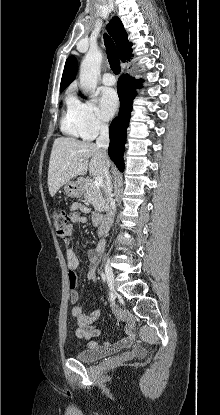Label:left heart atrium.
I'll list each match as a JSON object with an SVG mask.
<instances>
[{
	"mask_svg": "<svg viewBox=\"0 0 220 415\" xmlns=\"http://www.w3.org/2000/svg\"><path fill=\"white\" fill-rule=\"evenodd\" d=\"M118 97L111 88H101L99 91V114L104 120H109L118 108Z\"/></svg>",
	"mask_w": 220,
	"mask_h": 415,
	"instance_id": "obj_1",
	"label": "left heart atrium"
}]
</instances>
